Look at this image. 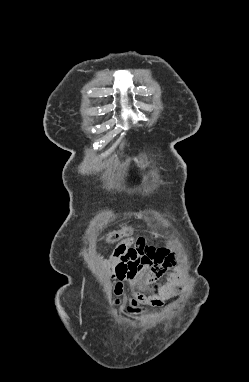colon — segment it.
I'll return each instance as SVG.
<instances>
[{
  "label": "colon",
  "mask_w": 249,
  "mask_h": 382,
  "mask_svg": "<svg viewBox=\"0 0 249 382\" xmlns=\"http://www.w3.org/2000/svg\"><path fill=\"white\" fill-rule=\"evenodd\" d=\"M131 234V230L128 227H124L121 230H114L111 231L107 236L108 242H116L120 239H130L128 238ZM142 241V240H140ZM144 255L142 258V261L140 262L139 266H134L133 268V274L135 275L137 271L141 269L142 266L150 264L152 262H158L160 264H152L151 266H148L146 268V273L144 276H140V281H146L147 279L149 281H153L154 279H161L162 276L166 275V271H171L173 267L177 266V263L174 262V256L173 254H170L168 252H160L158 249H156L154 246L152 248H143ZM172 264V265H171ZM164 293L162 292V289L160 286H156L154 289V298H159L160 301L164 299Z\"/></svg>",
  "instance_id": "5ec220e1"
}]
</instances>
